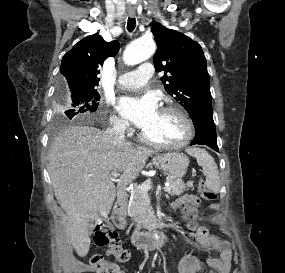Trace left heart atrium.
I'll return each mask as SVG.
<instances>
[{
    "instance_id": "left-heart-atrium-1",
    "label": "left heart atrium",
    "mask_w": 285,
    "mask_h": 273,
    "mask_svg": "<svg viewBox=\"0 0 285 273\" xmlns=\"http://www.w3.org/2000/svg\"><path fill=\"white\" fill-rule=\"evenodd\" d=\"M116 108L124 118L141 129L151 124L159 113L158 102L153 95L121 97Z\"/></svg>"
}]
</instances>
